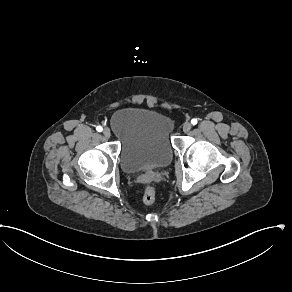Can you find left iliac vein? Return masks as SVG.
<instances>
[{
    "mask_svg": "<svg viewBox=\"0 0 292 292\" xmlns=\"http://www.w3.org/2000/svg\"><path fill=\"white\" fill-rule=\"evenodd\" d=\"M191 128H192V125H191L190 122H185V123L183 124V131H184L185 133L189 132V131L191 130Z\"/></svg>",
    "mask_w": 292,
    "mask_h": 292,
    "instance_id": "1",
    "label": "left iliac vein"
}]
</instances>
